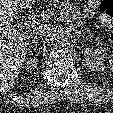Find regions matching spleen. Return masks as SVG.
I'll use <instances>...</instances> for the list:
<instances>
[{"instance_id":"3e777b00","label":"spleen","mask_w":113,"mask_h":113,"mask_svg":"<svg viewBox=\"0 0 113 113\" xmlns=\"http://www.w3.org/2000/svg\"><path fill=\"white\" fill-rule=\"evenodd\" d=\"M109 66H110V69H111L112 72H113V54L110 56V59H109Z\"/></svg>"}]
</instances>
